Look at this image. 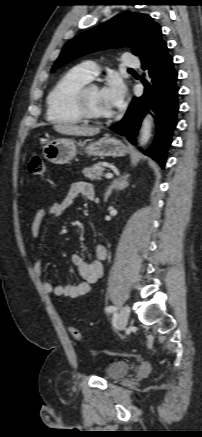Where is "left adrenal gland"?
<instances>
[{"label":"left adrenal gland","instance_id":"1","mask_svg":"<svg viewBox=\"0 0 202 437\" xmlns=\"http://www.w3.org/2000/svg\"><path fill=\"white\" fill-rule=\"evenodd\" d=\"M129 175H124L113 180L111 185L108 187L105 193V201H107L108 197L112 194L113 190H123L129 186L128 182Z\"/></svg>","mask_w":202,"mask_h":437}]
</instances>
